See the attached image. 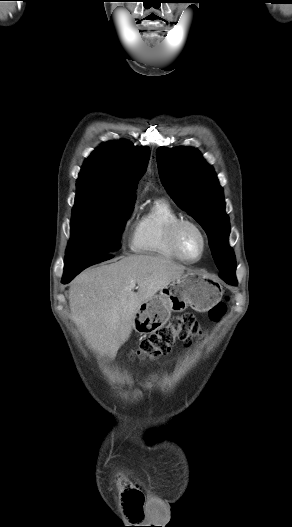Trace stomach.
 Here are the masks:
<instances>
[{"mask_svg":"<svg viewBox=\"0 0 292 527\" xmlns=\"http://www.w3.org/2000/svg\"><path fill=\"white\" fill-rule=\"evenodd\" d=\"M222 295V286L214 278L188 271L161 289L159 295L139 306L133 328L140 334H152L167 323L172 311L182 312L191 307L197 312H206L221 300Z\"/></svg>","mask_w":292,"mask_h":527,"instance_id":"stomach-1","label":"stomach"}]
</instances>
